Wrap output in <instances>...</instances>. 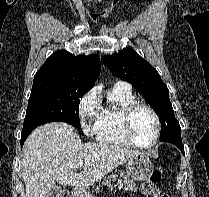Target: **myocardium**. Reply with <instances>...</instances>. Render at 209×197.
I'll return each instance as SVG.
<instances>
[{"mask_svg":"<svg viewBox=\"0 0 209 197\" xmlns=\"http://www.w3.org/2000/svg\"><path fill=\"white\" fill-rule=\"evenodd\" d=\"M139 108H145L146 110H148L152 114L154 121H155L154 137H153L152 142L149 144H139L133 138L132 118H133V114L135 113V111ZM121 126H122L123 134L126 140L128 141V143L136 148H140V149L152 148L156 145L160 137L161 123H160L159 115L152 106H150L149 104L143 101L135 100L124 108L122 112Z\"/></svg>","mask_w":209,"mask_h":197,"instance_id":"myocardium-1","label":"myocardium"}]
</instances>
